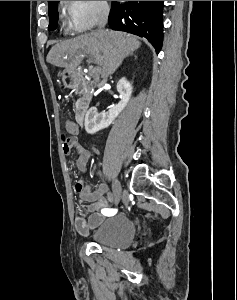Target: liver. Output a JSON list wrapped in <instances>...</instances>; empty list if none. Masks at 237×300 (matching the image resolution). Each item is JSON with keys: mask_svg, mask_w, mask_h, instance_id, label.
Returning <instances> with one entry per match:
<instances>
[{"mask_svg": "<svg viewBox=\"0 0 237 300\" xmlns=\"http://www.w3.org/2000/svg\"><path fill=\"white\" fill-rule=\"evenodd\" d=\"M141 43L137 37L119 33V31H92L69 41H61L52 47L47 55V63L55 67H64L67 71H74L79 67L84 55H91L92 63L101 65V75L109 77L123 59L139 49Z\"/></svg>", "mask_w": 237, "mask_h": 300, "instance_id": "liver-1", "label": "liver"}]
</instances>
